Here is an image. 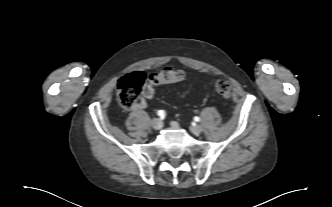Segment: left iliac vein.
Instances as JSON below:
<instances>
[{
    "label": "left iliac vein",
    "instance_id": "4c4485c4",
    "mask_svg": "<svg viewBox=\"0 0 332 207\" xmlns=\"http://www.w3.org/2000/svg\"><path fill=\"white\" fill-rule=\"evenodd\" d=\"M190 130H191V132H192L193 134L198 135V134H200V133L202 132V127L199 126V125H192V126L190 127Z\"/></svg>",
    "mask_w": 332,
    "mask_h": 207
}]
</instances>
